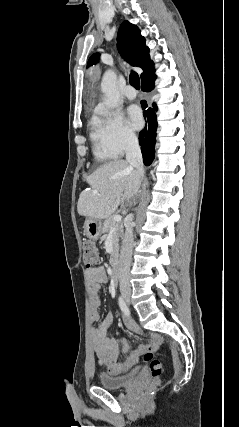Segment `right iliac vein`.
Instances as JSON below:
<instances>
[{
  "label": "right iliac vein",
  "instance_id": "1",
  "mask_svg": "<svg viewBox=\"0 0 239 427\" xmlns=\"http://www.w3.org/2000/svg\"><path fill=\"white\" fill-rule=\"evenodd\" d=\"M130 295H131L130 291H128V290L122 291V296L126 300L127 303H130Z\"/></svg>",
  "mask_w": 239,
  "mask_h": 427
}]
</instances>
